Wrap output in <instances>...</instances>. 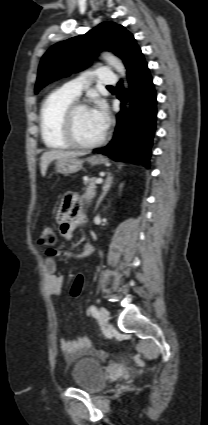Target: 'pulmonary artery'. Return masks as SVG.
<instances>
[{
  "instance_id": "obj_1",
  "label": "pulmonary artery",
  "mask_w": 208,
  "mask_h": 425,
  "mask_svg": "<svg viewBox=\"0 0 208 425\" xmlns=\"http://www.w3.org/2000/svg\"><path fill=\"white\" fill-rule=\"evenodd\" d=\"M90 79H96L99 83L105 85H114L117 83V77L113 71L108 68H98L94 72L86 73L83 77L65 83L61 91L69 97L77 99L81 92L89 85Z\"/></svg>"
}]
</instances>
